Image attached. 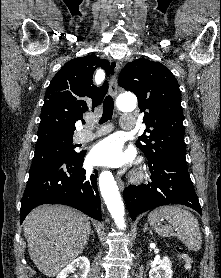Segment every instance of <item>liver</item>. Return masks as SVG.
<instances>
[{
	"label": "liver",
	"instance_id": "liver-1",
	"mask_svg": "<svg viewBox=\"0 0 221 278\" xmlns=\"http://www.w3.org/2000/svg\"><path fill=\"white\" fill-rule=\"evenodd\" d=\"M91 225L81 212L63 205H42L24 221L29 256L41 273L54 277L85 249Z\"/></svg>",
	"mask_w": 221,
	"mask_h": 278
}]
</instances>
